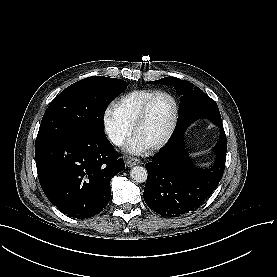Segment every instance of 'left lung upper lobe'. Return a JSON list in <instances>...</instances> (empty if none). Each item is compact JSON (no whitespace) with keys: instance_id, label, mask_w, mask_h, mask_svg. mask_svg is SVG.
<instances>
[{"instance_id":"5c2ea615","label":"left lung upper lobe","mask_w":277,"mask_h":277,"mask_svg":"<svg viewBox=\"0 0 277 277\" xmlns=\"http://www.w3.org/2000/svg\"><path fill=\"white\" fill-rule=\"evenodd\" d=\"M151 83L172 85L182 96L179 105L177 123L167 144L183 135L184 131L191 123L201 118H208L214 124L223 126L216 102L192 83L175 77H166L160 80L152 81ZM214 150L217 153L220 152L217 148ZM187 164L191 165L189 160L187 161Z\"/></svg>"}]
</instances>
